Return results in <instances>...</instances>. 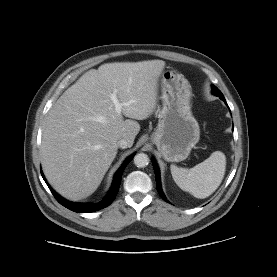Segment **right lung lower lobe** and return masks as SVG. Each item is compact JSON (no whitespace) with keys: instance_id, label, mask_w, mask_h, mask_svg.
Here are the masks:
<instances>
[{"instance_id":"right-lung-lower-lobe-1","label":"right lung lower lobe","mask_w":277,"mask_h":277,"mask_svg":"<svg viewBox=\"0 0 277 277\" xmlns=\"http://www.w3.org/2000/svg\"><path fill=\"white\" fill-rule=\"evenodd\" d=\"M134 154L131 155L130 157H128L124 163L122 164V166L119 168V170L116 172L115 176H114V181L113 184L107 194V196L99 203L97 204H83V203H75V202H70L66 199H64L63 197H61L60 195H58L47 183V181L44 178V175L41 171V175L44 179V181L46 182V184L48 185L49 189L51 190L52 194L54 195V197L57 199V201L63 205L64 207L74 211V212H78V213H89V212H94L97 210H100L102 208L107 207L108 205H110L119 190L120 187V183H121V178H122V174L124 169L126 168V166L129 164V162L133 159Z\"/></svg>"}]
</instances>
